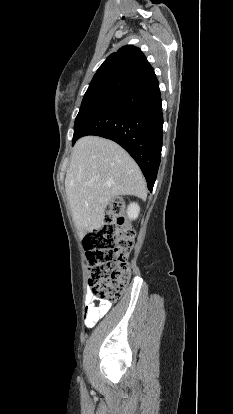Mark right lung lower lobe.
<instances>
[{
    "label": "right lung lower lobe",
    "instance_id": "1",
    "mask_svg": "<svg viewBox=\"0 0 233 414\" xmlns=\"http://www.w3.org/2000/svg\"><path fill=\"white\" fill-rule=\"evenodd\" d=\"M132 81L126 91L96 106L84 117L76 140L96 135L117 142L137 162L152 191L162 148L159 83L155 74Z\"/></svg>",
    "mask_w": 233,
    "mask_h": 414
}]
</instances>
